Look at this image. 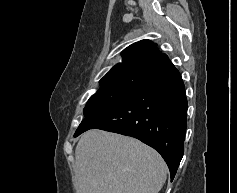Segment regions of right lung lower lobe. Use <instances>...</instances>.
<instances>
[{"mask_svg": "<svg viewBox=\"0 0 237 193\" xmlns=\"http://www.w3.org/2000/svg\"><path fill=\"white\" fill-rule=\"evenodd\" d=\"M187 107L181 75L163 54L123 102L84 119L75 137L97 128L137 138L161 154L173 180L184 153Z\"/></svg>", "mask_w": 237, "mask_h": 193, "instance_id": "obj_1", "label": "right lung lower lobe"}]
</instances>
